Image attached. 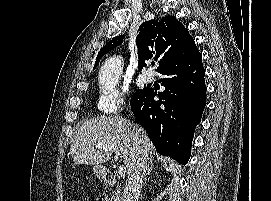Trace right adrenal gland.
<instances>
[{
    "mask_svg": "<svg viewBox=\"0 0 271 201\" xmlns=\"http://www.w3.org/2000/svg\"><path fill=\"white\" fill-rule=\"evenodd\" d=\"M153 170V159H150L149 165L147 167L146 174L144 176V182L146 183L148 176L150 175L151 171Z\"/></svg>",
    "mask_w": 271,
    "mask_h": 201,
    "instance_id": "right-adrenal-gland-1",
    "label": "right adrenal gland"
}]
</instances>
